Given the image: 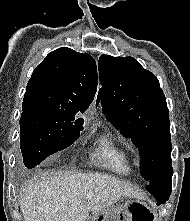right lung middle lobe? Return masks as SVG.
Returning <instances> with one entry per match:
<instances>
[{
  "mask_svg": "<svg viewBox=\"0 0 190 221\" xmlns=\"http://www.w3.org/2000/svg\"><path fill=\"white\" fill-rule=\"evenodd\" d=\"M83 119L73 114L29 111L20 118L23 162L33 168L53 153L72 145L83 130Z\"/></svg>",
  "mask_w": 190,
  "mask_h": 221,
  "instance_id": "obj_1",
  "label": "right lung middle lobe"
}]
</instances>
